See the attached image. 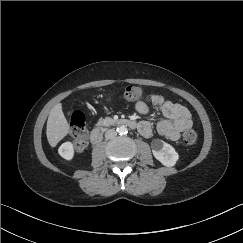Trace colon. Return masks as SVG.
Masks as SVG:
<instances>
[{"label": "colon", "mask_w": 243, "mask_h": 243, "mask_svg": "<svg viewBox=\"0 0 243 243\" xmlns=\"http://www.w3.org/2000/svg\"><path fill=\"white\" fill-rule=\"evenodd\" d=\"M125 97L130 101H137L142 96L141 88L137 86H128L124 91ZM86 119L82 111L76 110L70 115L71 133L75 138V149L83 152L87 146ZM197 140V133L193 129L186 130L183 134V142L186 145H192Z\"/></svg>", "instance_id": "1"}]
</instances>
